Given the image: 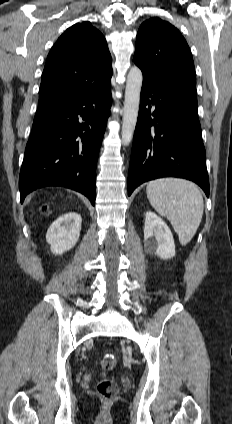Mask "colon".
<instances>
[{"instance_id":"5ec220e1","label":"colon","mask_w":232,"mask_h":424,"mask_svg":"<svg viewBox=\"0 0 232 424\" xmlns=\"http://www.w3.org/2000/svg\"><path fill=\"white\" fill-rule=\"evenodd\" d=\"M42 210L45 213L47 208L44 207ZM115 365L116 357L111 353L104 355L101 359V369L103 371H110ZM96 391L101 398L111 400L117 396L119 389L116 381L108 378H101L97 382Z\"/></svg>"}]
</instances>
